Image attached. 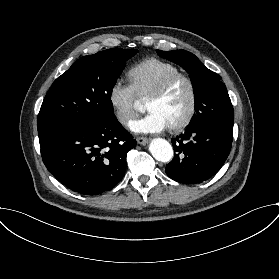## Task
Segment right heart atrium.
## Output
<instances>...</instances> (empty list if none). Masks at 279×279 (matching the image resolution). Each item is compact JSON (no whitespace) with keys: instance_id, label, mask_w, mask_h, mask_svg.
Here are the masks:
<instances>
[{"instance_id":"1","label":"right heart atrium","mask_w":279,"mask_h":279,"mask_svg":"<svg viewBox=\"0 0 279 279\" xmlns=\"http://www.w3.org/2000/svg\"><path fill=\"white\" fill-rule=\"evenodd\" d=\"M108 104L114 118L122 126H126L137 113L136 95L131 85L121 80L115 81L107 94Z\"/></svg>"}]
</instances>
